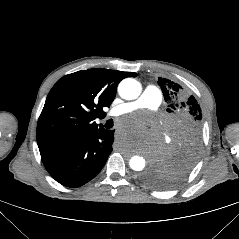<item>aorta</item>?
Wrapping results in <instances>:
<instances>
[{
	"label": "aorta",
	"instance_id": "762f6f07",
	"mask_svg": "<svg viewBox=\"0 0 239 239\" xmlns=\"http://www.w3.org/2000/svg\"><path fill=\"white\" fill-rule=\"evenodd\" d=\"M141 84L132 78L122 80L118 86V92L121 98L125 100L137 99L141 93ZM130 167L135 171H141L146 165V160L140 156H133L129 161Z\"/></svg>",
	"mask_w": 239,
	"mask_h": 239
}]
</instances>
